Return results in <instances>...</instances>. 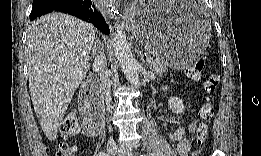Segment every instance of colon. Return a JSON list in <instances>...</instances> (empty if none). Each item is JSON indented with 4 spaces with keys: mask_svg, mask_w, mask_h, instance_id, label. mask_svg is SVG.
I'll use <instances>...</instances> for the list:
<instances>
[{
    "mask_svg": "<svg viewBox=\"0 0 261 156\" xmlns=\"http://www.w3.org/2000/svg\"><path fill=\"white\" fill-rule=\"evenodd\" d=\"M204 68V62L202 60L196 61L187 71L188 77L197 81L200 78V74ZM219 85V77L217 75H208L203 81V89L206 94V101L203 103L199 110L200 123L197 128L195 141L197 145H202L207 139L209 133V122L214 115V105L212 102V97L215 94ZM84 129L89 135L94 136L99 132L98 127L94 123H89L83 121L81 124L76 113H70L64 120L61 133L64 138H72L78 135L81 129ZM194 154H197L195 152ZM58 155L69 156L73 155V149L61 144Z\"/></svg>",
    "mask_w": 261,
    "mask_h": 156,
    "instance_id": "colon-1",
    "label": "colon"
}]
</instances>
